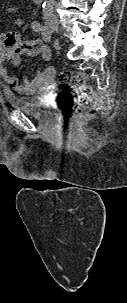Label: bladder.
Masks as SVG:
<instances>
[{
  "label": "bladder",
  "instance_id": "1",
  "mask_svg": "<svg viewBox=\"0 0 127 303\" xmlns=\"http://www.w3.org/2000/svg\"><path fill=\"white\" fill-rule=\"evenodd\" d=\"M7 101L11 108L26 112L34 117H44L48 114L44 101L36 94L9 95Z\"/></svg>",
  "mask_w": 127,
  "mask_h": 303
}]
</instances>
